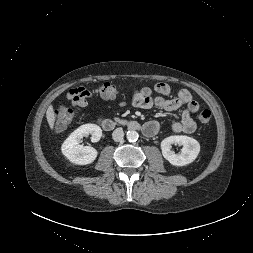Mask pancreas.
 <instances>
[{
  "label": "pancreas",
  "instance_id": "obj_1",
  "mask_svg": "<svg viewBox=\"0 0 253 253\" xmlns=\"http://www.w3.org/2000/svg\"><path fill=\"white\" fill-rule=\"evenodd\" d=\"M115 121L118 122V123H123L124 122L122 119L117 118V117L115 118Z\"/></svg>",
  "mask_w": 253,
  "mask_h": 253
}]
</instances>
